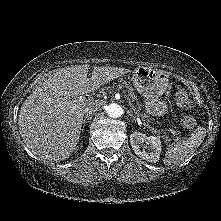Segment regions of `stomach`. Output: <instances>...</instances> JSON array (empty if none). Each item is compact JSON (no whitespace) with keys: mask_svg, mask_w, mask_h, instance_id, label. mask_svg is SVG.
<instances>
[{"mask_svg":"<svg viewBox=\"0 0 221 221\" xmlns=\"http://www.w3.org/2000/svg\"><path fill=\"white\" fill-rule=\"evenodd\" d=\"M168 75L165 71L139 66L133 71L132 82L136 90L145 99V109L153 116L167 113V102L160 97L168 87Z\"/></svg>","mask_w":221,"mask_h":221,"instance_id":"0dacf381","label":"stomach"}]
</instances>
